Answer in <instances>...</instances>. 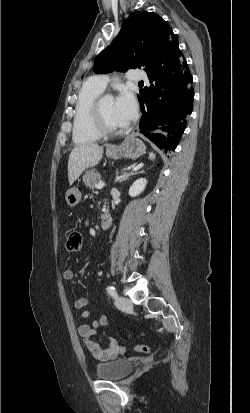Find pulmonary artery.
<instances>
[{
	"label": "pulmonary artery",
	"instance_id": "1",
	"mask_svg": "<svg viewBox=\"0 0 250 413\" xmlns=\"http://www.w3.org/2000/svg\"><path fill=\"white\" fill-rule=\"evenodd\" d=\"M127 77H128V79L134 80V81L146 80L147 79L146 73L142 70H139V69L130 70L128 72ZM92 80L99 87H101L102 89H105L107 84H108L109 77L107 75H98V76L94 77Z\"/></svg>",
	"mask_w": 250,
	"mask_h": 413
}]
</instances>
